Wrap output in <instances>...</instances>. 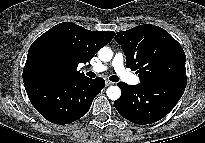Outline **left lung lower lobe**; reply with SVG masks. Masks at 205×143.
<instances>
[{"label":"left lung lower lobe","mask_w":205,"mask_h":143,"mask_svg":"<svg viewBox=\"0 0 205 143\" xmlns=\"http://www.w3.org/2000/svg\"><path fill=\"white\" fill-rule=\"evenodd\" d=\"M187 79L164 80L128 85L118 83L121 97L114 102L118 113L135 124L159 121L177 104L186 88Z\"/></svg>","instance_id":"0a47b994"}]
</instances>
